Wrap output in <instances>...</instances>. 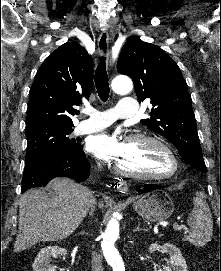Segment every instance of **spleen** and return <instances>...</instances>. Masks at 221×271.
Here are the masks:
<instances>
[{
    "mask_svg": "<svg viewBox=\"0 0 221 271\" xmlns=\"http://www.w3.org/2000/svg\"><path fill=\"white\" fill-rule=\"evenodd\" d=\"M187 223L191 227L189 235H185V241L193 245H206L213 235V219L208 203L201 197H195L194 207L188 215Z\"/></svg>",
    "mask_w": 221,
    "mask_h": 271,
    "instance_id": "obj_1",
    "label": "spleen"
}]
</instances>
